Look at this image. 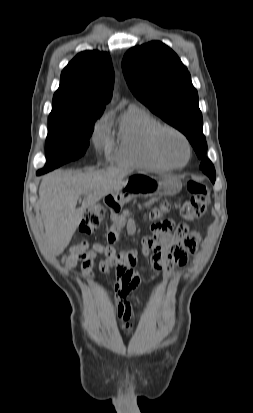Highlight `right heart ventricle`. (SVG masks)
Here are the masks:
<instances>
[{
    "label": "right heart ventricle",
    "mask_w": 253,
    "mask_h": 413,
    "mask_svg": "<svg viewBox=\"0 0 253 413\" xmlns=\"http://www.w3.org/2000/svg\"><path fill=\"white\" fill-rule=\"evenodd\" d=\"M157 125V120L143 108L131 106L125 110L118 121L116 138L109 147L111 161L130 167L168 169L150 145L151 132Z\"/></svg>",
    "instance_id": "obj_1"
}]
</instances>
